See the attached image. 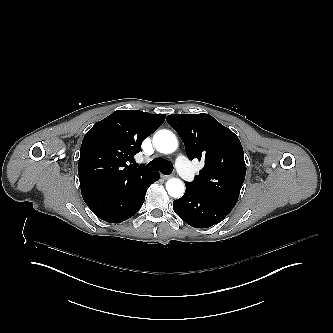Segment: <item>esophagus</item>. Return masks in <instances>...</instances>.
Instances as JSON below:
<instances>
[{"label": "esophagus", "mask_w": 333, "mask_h": 333, "mask_svg": "<svg viewBox=\"0 0 333 333\" xmlns=\"http://www.w3.org/2000/svg\"><path fill=\"white\" fill-rule=\"evenodd\" d=\"M171 177V175H161V178L167 180Z\"/></svg>", "instance_id": "34e87169"}]
</instances>
